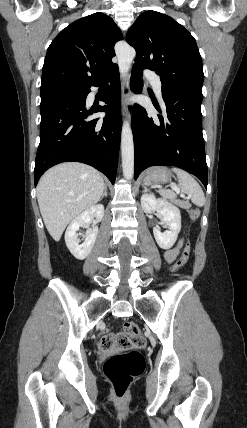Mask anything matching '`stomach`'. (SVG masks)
Listing matches in <instances>:
<instances>
[{
    "label": "stomach",
    "instance_id": "0dacf381",
    "mask_svg": "<svg viewBox=\"0 0 247 428\" xmlns=\"http://www.w3.org/2000/svg\"><path fill=\"white\" fill-rule=\"evenodd\" d=\"M172 173L167 167H153L144 175L143 182L145 184H158L169 181L172 177Z\"/></svg>",
    "mask_w": 247,
    "mask_h": 428
}]
</instances>
